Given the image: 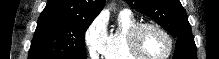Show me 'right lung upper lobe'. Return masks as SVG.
Returning <instances> with one entry per match:
<instances>
[{"label": "right lung upper lobe", "mask_w": 219, "mask_h": 59, "mask_svg": "<svg viewBox=\"0 0 219 59\" xmlns=\"http://www.w3.org/2000/svg\"><path fill=\"white\" fill-rule=\"evenodd\" d=\"M104 4L105 0H48L39 18L56 17L93 21Z\"/></svg>", "instance_id": "cb5924a9"}]
</instances>
